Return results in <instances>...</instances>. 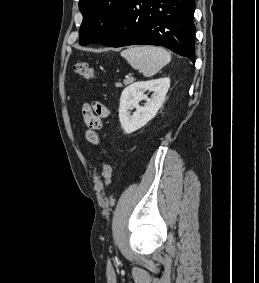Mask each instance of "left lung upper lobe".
I'll list each match as a JSON object with an SVG mask.
<instances>
[{"label": "left lung upper lobe", "mask_w": 259, "mask_h": 283, "mask_svg": "<svg viewBox=\"0 0 259 283\" xmlns=\"http://www.w3.org/2000/svg\"><path fill=\"white\" fill-rule=\"evenodd\" d=\"M130 0H80L83 15L79 42L82 45L100 43L121 20Z\"/></svg>", "instance_id": "obj_1"}]
</instances>
